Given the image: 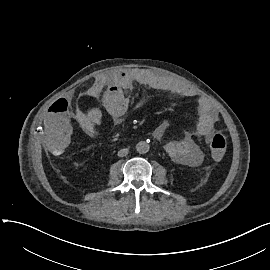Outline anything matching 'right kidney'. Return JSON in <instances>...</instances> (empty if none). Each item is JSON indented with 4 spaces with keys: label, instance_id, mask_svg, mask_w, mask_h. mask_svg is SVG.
<instances>
[{
    "label": "right kidney",
    "instance_id": "ca27d5eb",
    "mask_svg": "<svg viewBox=\"0 0 270 270\" xmlns=\"http://www.w3.org/2000/svg\"><path fill=\"white\" fill-rule=\"evenodd\" d=\"M74 166H75V167H78L79 164H78L77 162H74Z\"/></svg>",
    "mask_w": 270,
    "mask_h": 270
}]
</instances>
